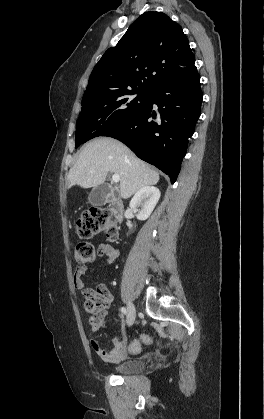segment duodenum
Returning <instances> with one entry per match:
<instances>
[{
  "mask_svg": "<svg viewBox=\"0 0 264 419\" xmlns=\"http://www.w3.org/2000/svg\"><path fill=\"white\" fill-rule=\"evenodd\" d=\"M110 212L117 222H122L124 218V205L122 200L118 198H113L110 200L109 204Z\"/></svg>",
  "mask_w": 264,
  "mask_h": 419,
  "instance_id": "duodenum-1",
  "label": "duodenum"
}]
</instances>
